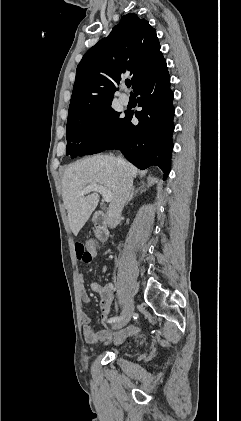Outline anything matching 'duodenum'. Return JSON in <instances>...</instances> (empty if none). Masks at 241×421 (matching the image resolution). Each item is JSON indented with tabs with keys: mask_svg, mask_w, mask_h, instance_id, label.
<instances>
[{
	"mask_svg": "<svg viewBox=\"0 0 241 421\" xmlns=\"http://www.w3.org/2000/svg\"><path fill=\"white\" fill-rule=\"evenodd\" d=\"M93 223L95 226L96 237L100 242H105L108 239L109 233L107 229V216L102 211H97L93 214Z\"/></svg>",
	"mask_w": 241,
	"mask_h": 421,
	"instance_id": "obj_1",
	"label": "duodenum"
}]
</instances>
